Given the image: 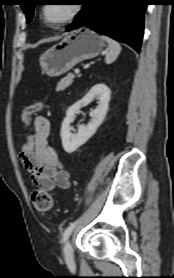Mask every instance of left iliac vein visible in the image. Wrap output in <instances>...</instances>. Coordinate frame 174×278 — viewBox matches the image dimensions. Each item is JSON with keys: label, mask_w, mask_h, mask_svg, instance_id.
<instances>
[{"label": "left iliac vein", "mask_w": 174, "mask_h": 278, "mask_svg": "<svg viewBox=\"0 0 174 278\" xmlns=\"http://www.w3.org/2000/svg\"><path fill=\"white\" fill-rule=\"evenodd\" d=\"M64 253H65V260L68 265H72L74 263V253H73V247L68 240L64 246Z\"/></svg>", "instance_id": "4c4485c4"}]
</instances>
